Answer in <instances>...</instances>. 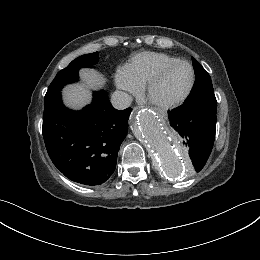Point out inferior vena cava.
Returning <instances> with one entry per match:
<instances>
[{
  "label": "inferior vena cava",
  "instance_id": "602c4592",
  "mask_svg": "<svg viewBox=\"0 0 260 260\" xmlns=\"http://www.w3.org/2000/svg\"><path fill=\"white\" fill-rule=\"evenodd\" d=\"M111 103L116 109H126L131 105L132 97L123 91H115L112 94Z\"/></svg>",
  "mask_w": 260,
  "mask_h": 260
}]
</instances>
